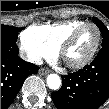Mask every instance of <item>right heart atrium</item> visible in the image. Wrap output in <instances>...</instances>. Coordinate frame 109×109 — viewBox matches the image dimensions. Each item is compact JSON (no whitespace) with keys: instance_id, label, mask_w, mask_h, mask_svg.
Masks as SVG:
<instances>
[{"instance_id":"right-heart-atrium-1","label":"right heart atrium","mask_w":109,"mask_h":109,"mask_svg":"<svg viewBox=\"0 0 109 109\" xmlns=\"http://www.w3.org/2000/svg\"><path fill=\"white\" fill-rule=\"evenodd\" d=\"M19 41L22 54L33 63L40 62L42 58H51L56 53L55 46L46 37L28 29L21 33Z\"/></svg>"}]
</instances>
